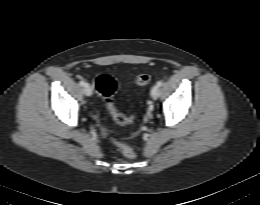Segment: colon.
<instances>
[{
	"instance_id": "obj_1",
	"label": "colon",
	"mask_w": 260,
	"mask_h": 205,
	"mask_svg": "<svg viewBox=\"0 0 260 205\" xmlns=\"http://www.w3.org/2000/svg\"><path fill=\"white\" fill-rule=\"evenodd\" d=\"M151 80V77L147 73H142L136 76L135 83L139 86H144L148 84ZM95 87L98 94L103 98V101L112 115L114 121L118 124L125 125L132 123L135 119L134 115L126 116L119 112L114 99L113 95L117 88V83L113 77L108 74H100L97 76L95 81ZM117 146L122 150L123 154L130 159L135 158L136 154L134 150L121 142H116Z\"/></svg>"
}]
</instances>
